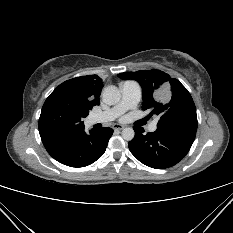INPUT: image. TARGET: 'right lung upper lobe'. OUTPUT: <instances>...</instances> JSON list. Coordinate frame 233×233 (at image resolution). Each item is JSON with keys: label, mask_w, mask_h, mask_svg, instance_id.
Listing matches in <instances>:
<instances>
[{"label": "right lung upper lobe", "mask_w": 233, "mask_h": 233, "mask_svg": "<svg viewBox=\"0 0 233 233\" xmlns=\"http://www.w3.org/2000/svg\"><path fill=\"white\" fill-rule=\"evenodd\" d=\"M72 92L81 95L82 97L90 100L94 105H99V96L103 88L102 80L97 75H88L73 78L62 83Z\"/></svg>", "instance_id": "cb5924a9"}]
</instances>
